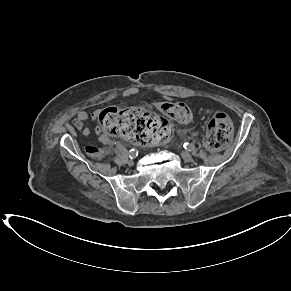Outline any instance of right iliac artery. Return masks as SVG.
<instances>
[{"mask_svg":"<svg viewBox=\"0 0 291 291\" xmlns=\"http://www.w3.org/2000/svg\"><path fill=\"white\" fill-rule=\"evenodd\" d=\"M137 155H138V150H137V149H131V150L129 151V157H130L131 159L135 158Z\"/></svg>","mask_w":291,"mask_h":291,"instance_id":"right-iliac-artery-1","label":"right iliac artery"}]
</instances>
